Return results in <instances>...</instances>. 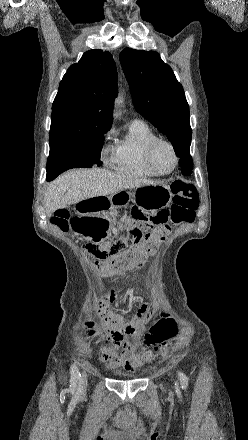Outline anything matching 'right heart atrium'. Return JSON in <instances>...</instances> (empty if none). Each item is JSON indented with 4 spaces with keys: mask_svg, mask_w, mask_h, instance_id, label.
I'll return each mask as SVG.
<instances>
[{
    "mask_svg": "<svg viewBox=\"0 0 248 440\" xmlns=\"http://www.w3.org/2000/svg\"><path fill=\"white\" fill-rule=\"evenodd\" d=\"M113 131L109 130L106 133V138H109L112 135ZM113 152L114 147L108 144L103 145L101 150V158L105 164H112L113 163Z\"/></svg>",
    "mask_w": 248,
    "mask_h": 440,
    "instance_id": "d8ad5b80",
    "label": "right heart atrium"
}]
</instances>
